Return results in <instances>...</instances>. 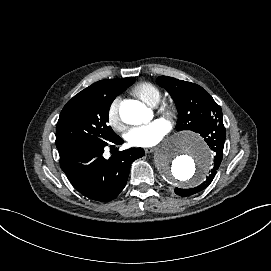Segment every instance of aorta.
I'll list each match as a JSON object with an SVG mask.
<instances>
[{"instance_id":"762f6f07","label":"aorta","mask_w":271,"mask_h":271,"mask_svg":"<svg viewBox=\"0 0 271 271\" xmlns=\"http://www.w3.org/2000/svg\"><path fill=\"white\" fill-rule=\"evenodd\" d=\"M120 117L127 124L138 125L149 119L148 108L137 100L120 106ZM212 165L211 153L196 135L183 133L165 141L155 153V166L163 179L176 186H197Z\"/></svg>"}]
</instances>
